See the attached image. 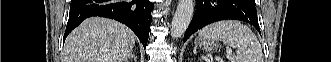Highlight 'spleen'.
<instances>
[{
  "label": "spleen",
  "mask_w": 331,
  "mask_h": 62,
  "mask_svg": "<svg viewBox=\"0 0 331 62\" xmlns=\"http://www.w3.org/2000/svg\"><path fill=\"white\" fill-rule=\"evenodd\" d=\"M199 37L217 39L230 47H237L231 62H262V50L255 34L235 20L210 24L199 31Z\"/></svg>",
  "instance_id": "3e777b00"
}]
</instances>
